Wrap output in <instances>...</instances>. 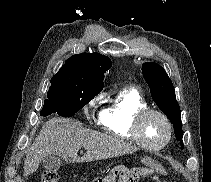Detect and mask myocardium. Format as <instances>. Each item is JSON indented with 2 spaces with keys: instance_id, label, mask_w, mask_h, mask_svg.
Segmentation results:
<instances>
[{
  "instance_id": "1",
  "label": "myocardium",
  "mask_w": 211,
  "mask_h": 182,
  "mask_svg": "<svg viewBox=\"0 0 211 182\" xmlns=\"http://www.w3.org/2000/svg\"><path fill=\"white\" fill-rule=\"evenodd\" d=\"M149 114H156L159 117H161L167 127V136H166L165 140L162 143H160L159 145H149L142 139L141 123H142L143 119ZM132 134H133L134 140L141 147H143L147 150L158 151V150H161L164 147H166L169 144V142L171 141L172 136H173V127H172L170 119L164 112H162L161 110L156 109V108L145 107V108H142L139 111H137V113L135 114V116L133 118Z\"/></svg>"
}]
</instances>
